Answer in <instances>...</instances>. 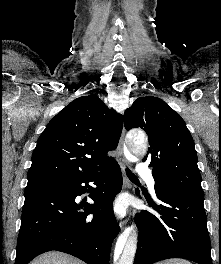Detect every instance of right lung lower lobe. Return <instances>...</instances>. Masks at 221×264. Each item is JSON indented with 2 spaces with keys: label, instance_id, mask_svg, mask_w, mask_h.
Here are the masks:
<instances>
[{
  "label": "right lung lower lobe",
  "instance_id": "right-lung-lower-lobe-1",
  "mask_svg": "<svg viewBox=\"0 0 221 264\" xmlns=\"http://www.w3.org/2000/svg\"><path fill=\"white\" fill-rule=\"evenodd\" d=\"M89 182L97 186L90 194L94 204L75 202L89 191ZM121 188V170L113 159L88 176L26 189L15 264H28L51 250L87 264H109L111 245L119 233L112 203Z\"/></svg>",
  "mask_w": 221,
  "mask_h": 264
}]
</instances>
